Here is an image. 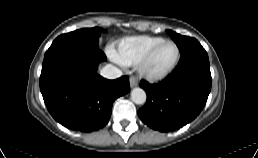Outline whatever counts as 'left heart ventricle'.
Here are the masks:
<instances>
[{
    "instance_id": "1",
    "label": "left heart ventricle",
    "mask_w": 258,
    "mask_h": 158,
    "mask_svg": "<svg viewBox=\"0 0 258 158\" xmlns=\"http://www.w3.org/2000/svg\"><path fill=\"white\" fill-rule=\"evenodd\" d=\"M176 57V49L173 44H162L151 57L147 68L151 72H161L170 66Z\"/></svg>"
}]
</instances>
